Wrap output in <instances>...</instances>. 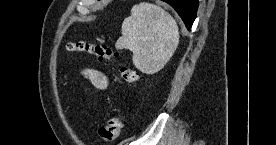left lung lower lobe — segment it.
Returning <instances> with one entry per match:
<instances>
[{"label":"left lung lower lobe","instance_id":"left-lung-lower-lobe-1","mask_svg":"<svg viewBox=\"0 0 276 145\" xmlns=\"http://www.w3.org/2000/svg\"><path fill=\"white\" fill-rule=\"evenodd\" d=\"M170 4L184 21L188 30H191L198 9V0H163Z\"/></svg>","mask_w":276,"mask_h":145}]
</instances>
